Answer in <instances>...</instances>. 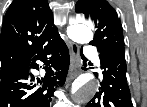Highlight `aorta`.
I'll return each instance as SVG.
<instances>
[{"instance_id": "762f6f07", "label": "aorta", "mask_w": 147, "mask_h": 107, "mask_svg": "<svg viewBox=\"0 0 147 107\" xmlns=\"http://www.w3.org/2000/svg\"><path fill=\"white\" fill-rule=\"evenodd\" d=\"M67 34L71 40L79 44H87L93 39L90 27L83 23H74L67 28ZM98 82L90 75L85 74L75 80L72 85L74 101L86 103L92 99L98 90Z\"/></svg>"}]
</instances>
